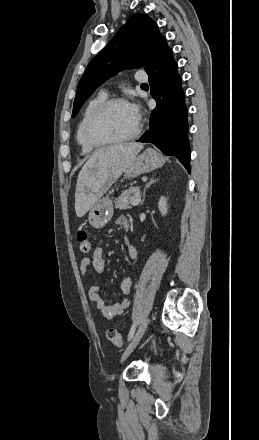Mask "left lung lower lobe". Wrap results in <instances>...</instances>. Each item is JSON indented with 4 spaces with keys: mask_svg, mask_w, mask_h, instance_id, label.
Here are the masks:
<instances>
[{
    "mask_svg": "<svg viewBox=\"0 0 259 440\" xmlns=\"http://www.w3.org/2000/svg\"><path fill=\"white\" fill-rule=\"evenodd\" d=\"M177 67L164 39L145 69L156 108L151 113L148 131L138 141L152 143L164 154L174 155L190 173L187 108Z\"/></svg>",
    "mask_w": 259,
    "mask_h": 440,
    "instance_id": "1",
    "label": "left lung lower lobe"
}]
</instances>
